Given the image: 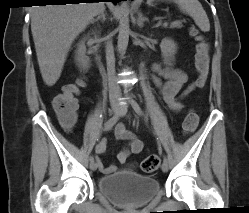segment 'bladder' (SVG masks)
Masks as SVG:
<instances>
[{"label": "bladder", "instance_id": "obj_1", "mask_svg": "<svg viewBox=\"0 0 249 213\" xmlns=\"http://www.w3.org/2000/svg\"><path fill=\"white\" fill-rule=\"evenodd\" d=\"M98 190L113 203L124 206H141L160 190L158 181L147 175L122 170L98 180Z\"/></svg>", "mask_w": 249, "mask_h": 213}]
</instances>
